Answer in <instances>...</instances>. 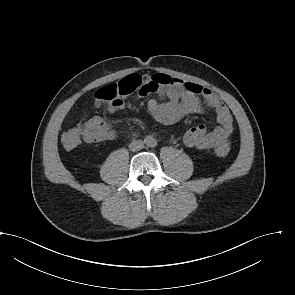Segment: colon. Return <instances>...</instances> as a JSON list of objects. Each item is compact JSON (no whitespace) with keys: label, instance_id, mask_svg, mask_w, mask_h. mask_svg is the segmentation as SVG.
<instances>
[{"label":"colon","instance_id":"5ec220e1","mask_svg":"<svg viewBox=\"0 0 295 295\" xmlns=\"http://www.w3.org/2000/svg\"><path fill=\"white\" fill-rule=\"evenodd\" d=\"M142 86V78L137 74H131L119 82L110 84L108 86L100 88L95 93V98L100 100L102 103L111 104L114 103L122 96H126L139 90ZM96 134V120L95 117L82 119L76 124L66 128L62 135L61 141L63 146L68 149H74L79 146L87 136H94ZM230 152L229 142H224L215 148L217 156L225 157Z\"/></svg>","mask_w":295,"mask_h":295}]
</instances>
